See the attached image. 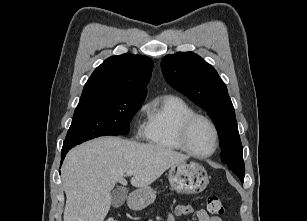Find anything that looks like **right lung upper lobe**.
I'll use <instances>...</instances> for the list:
<instances>
[{
    "label": "right lung upper lobe",
    "instance_id": "1",
    "mask_svg": "<svg viewBox=\"0 0 307 221\" xmlns=\"http://www.w3.org/2000/svg\"><path fill=\"white\" fill-rule=\"evenodd\" d=\"M153 61L130 53L112 56L98 66L83 88L79 102L102 96H146Z\"/></svg>",
    "mask_w": 307,
    "mask_h": 221
}]
</instances>
